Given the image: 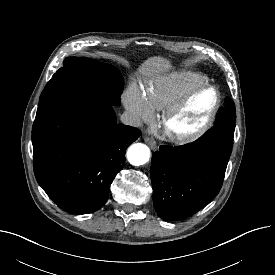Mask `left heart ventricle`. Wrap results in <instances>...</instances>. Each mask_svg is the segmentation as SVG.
Listing matches in <instances>:
<instances>
[{"label":"left heart ventricle","instance_id":"b2bd125f","mask_svg":"<svg viewBox=\"0 0 275 275\" xmlns=\"http://www.w3.org/2000/svg\"><path fill=\"white\" fill-rule=\"evenodd\" d=\"M215 101L216 95L212 90L195 95L186 107L170 121L169 132L184 134L199 127L211 112Z\"/></svg>","mask_w":275,"mask_h":275}]
</instances>
